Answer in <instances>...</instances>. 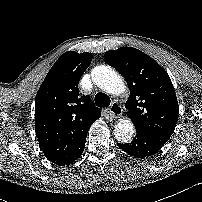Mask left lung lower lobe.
<instances>
[{
	"label": "left lung lower lobe",
	"instance_id": "0a47b994",
	"mask_svg": "<svg viewBox=\"0 0 202 202\" xmlns=\"http://www.w3.org/2000/svg\"><path fill=\"white\" fill-rule=\"evenodd\" d=\"M169 140L168 136L136 131L135 139L129 144L117 143L125 152L138 158H144L157 153Z\"/></svg>",
	"mask_w": 202,
	"mask_h": 202
}]
</instances>
